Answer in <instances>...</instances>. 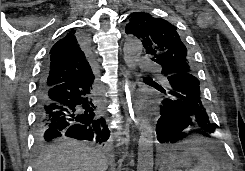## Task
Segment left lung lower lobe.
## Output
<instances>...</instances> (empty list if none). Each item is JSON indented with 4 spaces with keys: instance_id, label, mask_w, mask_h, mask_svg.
Returning a JSON list of instances; mask_svg holds the SVG:
<instances>
[{
    "instance_id": "obj_1",
    "label": "left lung lower lobe",
    "mask_w": 245,
    "mask_h": 171,
    "mask_svg": "<svg viewBox=\"0 0 245 171\" xmlns=\"http://www.w3.org/2000/svg\"><path fill=\"white\" fill-rule=\"evenodd\" d=\"M172 73L164 77L167 88L153 86L167 97L163 101L161 117L156 126L160 143H175L184 137V130L196 126L206 137L214 133L216 127L209 118L205 101L201 94L199 80L194 73L172 68Z\"/></svg>"
}]
</instances>
